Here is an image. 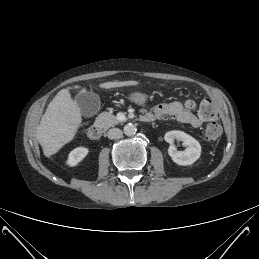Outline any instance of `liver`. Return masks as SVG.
<instances>
[{"label": "liver", "mask_w": 259, "mask_h": 259, "mask_svg": "<svg viewBox=\"0 0 259 259\" xmlns=\"http://www.w3.org/2000/svg\"><path fill=\"white\" fill-rule=\"evenodd\" d=\"M138 84V81H113L102 83L99 87L111 89ZM74 88H80V86ZM69 89H62L57 93L49 103L37 127L36 137L46 157L56 154L65 144L69 143L81 125V109L72 100Z\"/></svg>", "instance_id": "1"}]
</instances>
